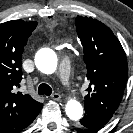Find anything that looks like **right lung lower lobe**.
Returning <instances> with one entry per match:
<instances>
[{
	"instance_id": "right-lung-lower-lobe-1",
	"label": "right lung lower lobe",
	"mask_w": 133,
	"mask_h": 133,
	"mask_svg": "<svg viewBox=\"0 0 133 133\" xmlns=\"http://www.w3.org/2000/svg\"><path fill=\"white\" fill-rule=\"evenodd\" d=\"M41 109H42V107L38 111H36L34 114L29 116L21 125H19L18 127L14 128L12 131H14V132L20 131V130L26 128L27 126H29L33 122V120L37 117V115L39 114Z\"/></svg>"
}]
</instances>
